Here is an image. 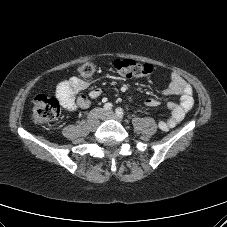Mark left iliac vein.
<instances>
[{"label": "left iliac vein", "instance_id": "4c4485c4", "mask_svg": "<svg viewBox=\"0 0 227 227\" xmlns=\"http://www.w3.org/2000/svg\"><path fill=\"white\" fill-rule=\"evenodd\" d=\"M104 119H114V120H117L118 117L116 116V114L113 111H108V112L105 113Z\"/></svg>", "mask_w": 227, "mask_h": 227}]
</instances>
